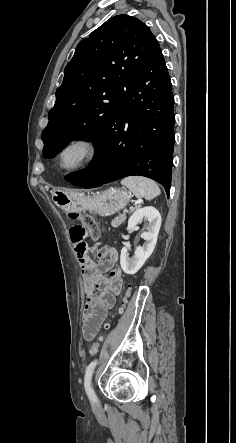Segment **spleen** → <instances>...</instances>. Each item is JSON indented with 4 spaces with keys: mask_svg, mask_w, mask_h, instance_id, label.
<instances>
[{
    "mask_svg": "<svg viewBox=\"0 0 236 443\" xmlns=\"http://www.w3.org/2000/svg\"><path fill=\"white\" fill-rule=\"evenodd\" d=\"M137 198L153 199L161 194L158 185L151 179L142 176H128L121 180Z\"/></svg>",
    "mask_w": 236,
    "mask_h": 443,
    "instance_id": "obj_1",
    "label": "spleen"
}]
</instances>
